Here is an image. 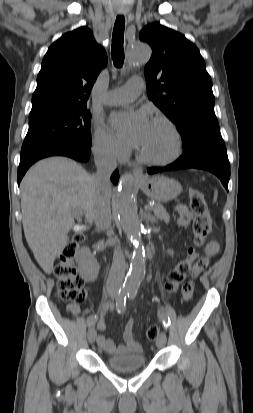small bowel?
<instances>
[{
    "instance_id": "small-bowel-1",
    "label": "small bowel",
    "mask_w": 253,
    "mask_h": 413,
    "mask_svg": "<svg viewBox=\"0 0 253 413\" xmlns=\"http://www.w3.org/2000/svg\"><path fill=\"white\" fill-rule=\"evenodd\" d=\"M175 209L179 215V218H178L179 225L182 227H188L190 225L192 215L188 211L187 207L184 205H178L176 206ZM218 251H219V245L214 241L209 242L206 246L204 257L195 265L193 269V273H188L186 275V278L182 281L180 294L185 299L186 303H189L192 300L193 294L195 293V288L193 285L195 277L198 276L204 270V268H206V266L209 263V260L213 256H215L218 253ZM110 309H111V305L108 303H105L100 307L99 317L101 320L110 311ZM67 311L74 317H77L80 312L79 306L76 304L68 305ZM86 314L88 316L87 322L88 320L94 317L90 313H86ZM98 328L100 330L103 329L102 322H99ZM132 330H133V321L129 320L125 326L124 333H123L124 345L117 346L113 340L106 338L104 335L97 336V344L107 353L112 354V355H117V354H122V353H127V352H142V345L134 338Z\"/></svg>"
}]
</instances>
